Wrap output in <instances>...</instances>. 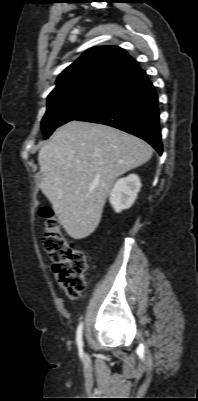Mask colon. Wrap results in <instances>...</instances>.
<instances>
[{
    "mask_svg": "<svg viewBox=\"0 0 198 401\" xmlns=\"http://www.w3.org/2000/svg\"><path fill=\"white\" fill-rule=\"evenodd\" d=\"M40 215L44 218L42 243L45 252L54 263L56 280L69 298L78 299L85 288L87 257L65 238L51 209L41 208Z\"/></svg>",
    "mask_w": 198,
    "mask_h": 401,
    "instance_id": "1",
    "label": "colon"
}]
</instances>
